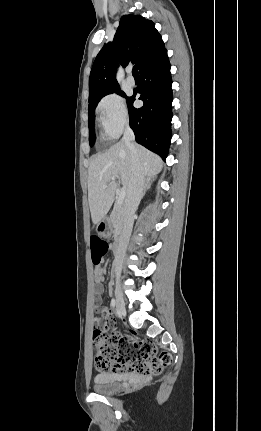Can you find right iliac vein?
<instances>
[{"label":"right iliac vein","mask_w":261,"mask_h":431,"mask_svg":"<svg viewBox=\"0 0 261 431\" xmlns=\"http://www.w3.org/2000/svg\"><path fill=\"white\" fill-rule=\"evenodd\" d=\"M115 298H116L117 314L120 316L125 315L126 311H125L124 297H123V294L121 292V287H120L119 282L116 283Z\"/></svg>","instance_id":"63e3f726"}]
</instances>
